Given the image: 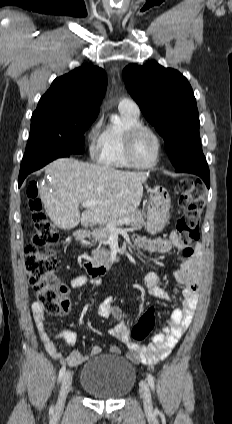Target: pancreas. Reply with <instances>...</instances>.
Listing matches in <instances>:
<instances>
[{"label":"pancreas","mask_w":232,"mask_h":424,"mask_svg":"<svg viewBox=\"0 0 232 424\" xmlns=\"http://www.w3.org/2000/svg\"><path fill=\"white\" fill-rule=\"evenodd\" d=\"M124 218L130 219V222L126 225H130L135 230L141 229L145 225L143 213L141 211H135L132 213L125 214L118 219L110 221L105 227L93 230V241L99 242V247L92 251V259L94 262L105 263L109 260V251L104 248H101V245L107 244V241L112 233L109 229V226L115 225L116 227H120L124 225L123 223H119V221Z\"/></svg>","instance_id":"cf45deb5"}]
</instances>
